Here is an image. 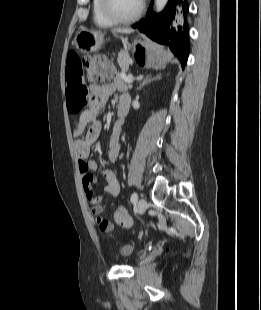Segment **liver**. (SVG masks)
<instances>
[{"label":"liver","mask_w":261,"mask_h":310,"mask_svg":"<svg viewBox=\"0 0 261 310\" xmlns=\"http://www.w3.org/2000/svg\"><path fill=\"white\" fill-rule=\"evenodd\" d=\"M116 32L123 33V34H130L133 32V30H131V29H119Z\"/></svg>","instance_id":"1"}]
</instances>
